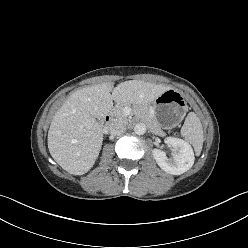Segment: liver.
<instances>
[{
	"label": "liver",
	"instance_id": "1",
	"mask_svg": "<svg viewBox=\"0 0 248 248\" xmlns=\"http://www.w3.org/2000/svg\"><path fill=\"white\" fill-rule=\"evenodd\" d=\"M169 87L140 80L118 84L105 82L73 92L55 113L48 131V149L67 172L83 175L94 165L103 142L96 118L107 115L117 104L142 105L154 101ZM112 91V94H111Z\"/></svg>",
	"mask_w": 248,
	"mask_h": 248
}]
</instances>
